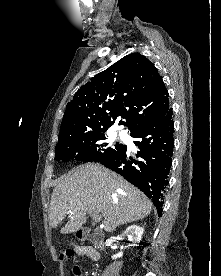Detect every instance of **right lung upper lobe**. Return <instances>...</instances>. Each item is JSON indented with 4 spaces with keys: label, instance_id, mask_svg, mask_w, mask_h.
I'll return each mask as SVG.
<instances>
[{
    "label": "right lung upper lobe",
    "instance_id": "1",
    "mask_svg": "<svg viewBox=\"0 0 221 276\" xmlns=\"http://www.w3.org/2000/svg\"><path fill=\"white\" fill-rule=\"evenodd\" d=\"M169 94L156 67L139 53L129 54L82 86L68 102L59 142L105 132L121 116L130 132L164 115Z\"/></svg>",
    "mask_w": 221,
    "mask_h": 276
}]
</instances>
